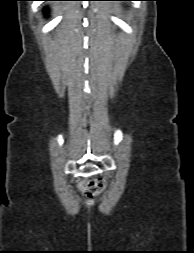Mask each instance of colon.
Segmentation results:
<instances>
[{
    "mask_svg": "<svg viewBox=\"0 0 194 253\" xmlns=\"http://www.w3.org/2000/svg\"><path fill=\"white\" fill-rule=\"evenodd\" d=\"M106 187V182L103 178L94 180H83L80 182V188L88 196H95L101 193Z\"/></svg>",
    "mask_w": 194,
    "mask_h": 253,
    "instance_id": "5ec220e1",
    "label": "colon"
}]
</instances>
